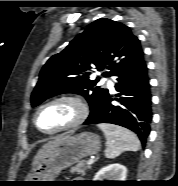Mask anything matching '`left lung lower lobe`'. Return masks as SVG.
<instances>
[{
	"mask_svg": "<svg viewBox=\"0 0 178 186\" xmlns=\"http://www.w3.org/2000/svg\"><path fill=\"white\" fill-rule=\"evenodd\" d=\"M116 82L115 88L119 92L117 96H121L120 105L111 104L113 99L107 91L84 124L111 123L123 126L135 132L142 145H145L150 133L152 110L150 84L144 58L117 75Z\"/></svg>",
	"mask_w": 178,
	"mask_h": 186,
	"instance_id": "left-lung-lower-lobe-1",
	"label": "left lung lower lobe"
}]
</instances>
